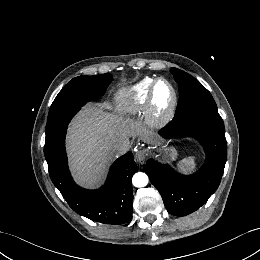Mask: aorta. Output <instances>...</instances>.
<instances>
[{
    "label": "aorta",
    "instance_id": "aorta-1",
    "mask_svg": "<svg viewBox=\"0 0 260 260\" xmlns=\"http://www.w3.org/2000/svg\"><path fill=\"white\" fill-rule=\"evenodd\" d=\"M148 176L143 172H137L133 175L132 184L135 187H145L148 184Z\"/></svg>",
    "mask_w": 260,
    "mask_h": 260
}]
</instances>
